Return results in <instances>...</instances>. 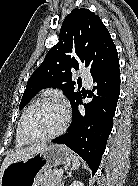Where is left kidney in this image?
I'll return each instance as SVG.
<instances>
[{
  "label": "left kidney",
  "instance_id": "1",
  "mask_svg": "<svg viewBox=\"0 0 138 186\" xmlns=\"http://www.w3.org/2000/svg\"><path fill=\"white\" fill-rule=\"evenodd\" d=\"M70 186H84V184L80 181H73V183Z\"/></svg>",
  "mask_w": 138,
  "mask_h": 186
}]
</instances>
